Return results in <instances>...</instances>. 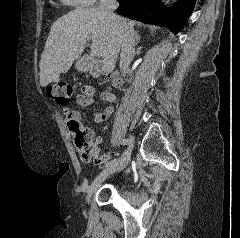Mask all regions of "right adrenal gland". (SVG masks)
Masks as SVG:
<instances>
[{
  "label": "right adrenal gland",
  "mask_w": 240,
  "mask_h": 238,
  "mask_svg": "<svg viewBox=\"0 0 240 238\" xmlns=\"http://www.w3.org/2000/svg\"><path fill=\"white\" fill-rule=\"evenodd\" d=\"M135 39H136V43L138 44L140 41V36H139L138 32L135 33Z\"/></svg>",
  "instance_id": "obj_1"
}]
</instances>
